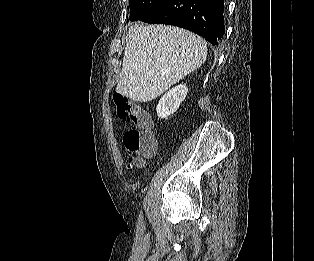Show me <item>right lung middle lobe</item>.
Wrapping results in <instances>:
<instances>
[{"label": "right lung middle lobe", "instance_id": "right-lung-middle-lobe-1", "mask_svg": "<svg viewBox=\"0 0 314 261\" xmlns=\"http://www.w3.org/2000/svg\"><path fill=\"white\" fill-rule=\"evenodd\" d=\"M166 1L167 0H129L131 20L143 19Z\"/></svg>", "mask_w": 314, "mask_h": 261}]
</instances>
